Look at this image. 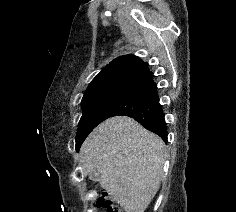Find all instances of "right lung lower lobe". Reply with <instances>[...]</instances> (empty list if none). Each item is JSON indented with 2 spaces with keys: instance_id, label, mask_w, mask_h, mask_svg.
<instances>
[{
  "instance_id": "obj_1",
  "label": "right lung lower lobe",
  "mask_w": 236,
  "mask_h": 212,
  "mask_svg": "<svg viewBox=\"0 0 236 212\" xmlns=\"http://www.w3.org/2000/svg\"><path fill=\"white\" fill-rule=\"evenodd\" d=\"M124 115L134 118L147 130L159 135L167 142L164 112L159 103L157 86L152 74L143 78L129 93L128 97L110 116Z\"/></svg>"
}]
</instances>
